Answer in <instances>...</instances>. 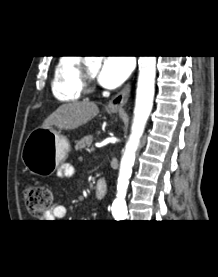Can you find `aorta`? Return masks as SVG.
<instances>
[{"instance_id": "aorta-1", "label": "aorta", "mask_w": 218, "mask_h": 277, "mask_svg": "<svg viewBox=\"0 0 218 277\" xmlns=\"http://www.w3.org/2000/svg\"><path fill=\"white\" fill-rule=\"evenodd\" d=\"M100 61V56H97ZM139 76L136 90L134 117L131 135L121 159L117 183L116 199L112 204V215L116 220L125 219L127 207L125 196L135 161V153L144 132L146 122L153 107L156 76V56H140L138 60Z\"/></svg>"}]
</instances>
